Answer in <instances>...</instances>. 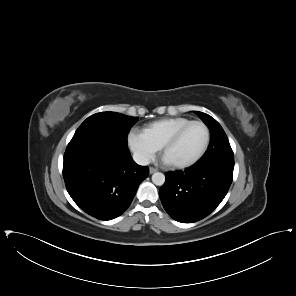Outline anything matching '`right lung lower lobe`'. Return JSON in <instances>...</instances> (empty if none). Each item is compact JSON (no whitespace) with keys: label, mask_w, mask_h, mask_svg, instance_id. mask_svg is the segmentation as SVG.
<instances>
[{"label":"right lung lower lobe","mask_w":296,"mask_h":296,"mask_svg":"<svg viewBox=\"0 0 296 296\" xmlns=\"http://www.w3.org/2000/svg\"><path fill=\"white\" fill-rule=\"evenodd\" d=\"M148 175L149 168L133 161L127 145L110 140H71L64 154L68 193L83 211L100 220L121 215Z\"/></svg>","instance_id":"obj_1"}]
</instances>
